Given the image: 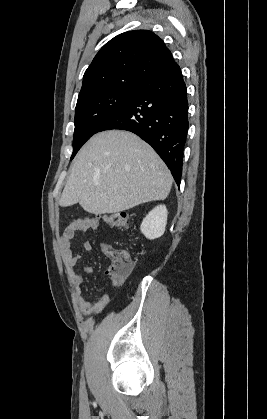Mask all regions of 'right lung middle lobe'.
<instances>
[{"instance_id":"obj_1","label":"right lung middle lobe","mask_w":267,"mask_h":419,"mask_svg":"<svg viewBox=\"0 0 267 419\" xmlns=\"http://www.w3.org/2000/svg\"><path fill=\"white\" fill-rule=\"evenodd\" d=\"M140 85L111 89L77 101L73 140L74 158L82 145L109 122L139 90Z\"/></svg>"}]
</instances>
